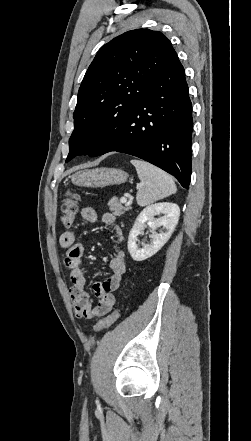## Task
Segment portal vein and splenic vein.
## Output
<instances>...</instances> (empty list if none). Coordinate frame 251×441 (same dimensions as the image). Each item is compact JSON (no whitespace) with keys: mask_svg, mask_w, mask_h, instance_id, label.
Here are the masks:
<instances>
[{"mask_svg":"<svg viewBox=\"0 0 251 441\" xmlns=\"http://www.w3.org/2000/svg\"><path fill=\"white\" fill-rule=\"evenodd\" d=\"M132 199V197H130V200ZM120 202L121 203H126L127 202V198L126 197H121L120 198Z\"/></svg>","mask_w":251,"mask_h":441,"instance_id":"1","label":"portal vein and splenic vein"}]
</instances>
